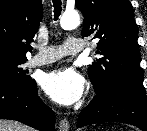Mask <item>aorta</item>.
<instances>
[{"instance_id":"762f6f07","label":"aorta","mask_w":147,"mask_h":131,"mask_svg":"<svg viewBox=\"0 0 147 131\" xmlns=\"http://www.w3.org/2000/svg\"><path fill=\"white\" fill-rule=\"evenodd\" d=\"M80 24L79 14L75 11L65 12L60 20V25L64 30H71Z\"/></svg>"}]
</instances>
